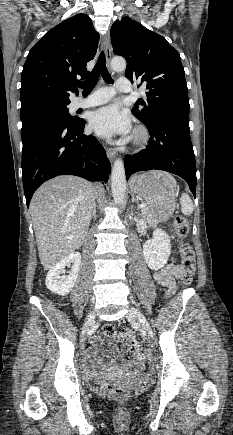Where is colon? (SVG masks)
Instances as JSON below:
<instances>
[{"instance_id": "1", "label": "colon", "mask_w": 233, "mask_h": 435, "mask_svg": "<svg viewBox=\"0 0 233 435\" xmlns=\"http://www.w3.org/2000/svg\"><path fill=\"white\" fill-rule=\"evenodd\" d=\"M174 228L176 234V240L178 242V251L180 256V263L186 270V273L181 279L183 286L186 289L190 288L192 281V273L195 269V255L192 247L187 242L189 234V224L185 217L177 216L174 220ZM103 332L109 337H114L117 342L126 340L127 348L131 351L141 352L142 348L139 342L134 337L133 333L127 329H124L120 333H116L112 326H104ZM101 393L109 398L117 401H124L130 395V390L113 383H103L100 386Z\"/></svg>"}]
</instances>
